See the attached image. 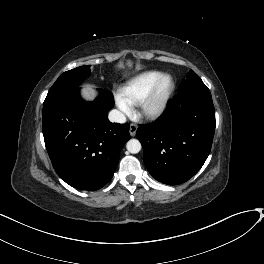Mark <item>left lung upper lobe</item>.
<instances>
[{
	"instance_id": "1",
	"label": "left lung upper lobe",
	"mask_w": 264,
	"mask_h": 264,
	"mask_svg": "<svg viewBox=\"0 0 264 264\" xmlns=\"http://www.w3.org/2000/svg\"><path fill=\"white\" fill-rule=\"evenodd\" d=\"M206 87L201 78L193 71L190 70L186 76V80L179 86L178 93L192 88Z\"/></svg>"
}]
</instances>
